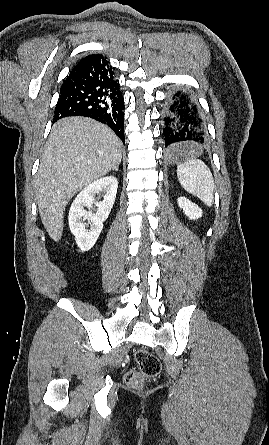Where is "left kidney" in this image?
Returning a JSON list of instances; mask_svg holds the SVG:
<instances>
[{
    "label": "left kidney",
    "mask_w": 269,
    "mask_h": 445,
    "mask_svg": "<svg viewBox=\"0 0 269 445\" xmlns=\"http://www.w3.org/2000/svg\"><path fill=\"white\" fill-rule=\"evenodd\" d=\"M178 205L189 219L195 220L202 217V210L185 197L178 198Z\"/></svg>",
    "instance_id": "5707ae66"
}]
</instances>
